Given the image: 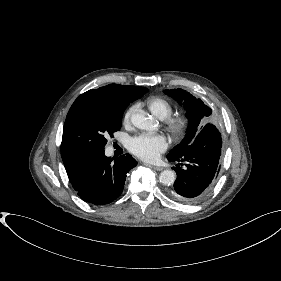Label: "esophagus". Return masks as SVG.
Segmentation results:
<instances>
[{
	"instance_id": "obj_1",
	"label": "esophagus",
	"mask_w": 281,
	"mask_h": 281,
	"mask_svg": "<svg viewBox=\"0 0 281 281\" xmlns=\"http://www.w3.org/2000/svg\"><path fill=\"white\" fill-rule=\"evenodd\" d=\"M150 167L153 168L156 171H162L163 170V168L159 167V166H150Z\"/></svg>"
}]
</instances>
